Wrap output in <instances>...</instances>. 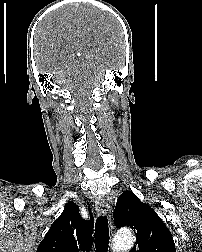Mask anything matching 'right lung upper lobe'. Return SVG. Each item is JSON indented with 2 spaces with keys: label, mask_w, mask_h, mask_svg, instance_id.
<instances>
[{
  "label": "right lung upper lobe",
  "mask_w": 202,
  "mask_h": 252,
  "mask_svg": "<svg viewBox=\"0 0 202 252\" xmlns=\"http://www.w3.org/2000/svg\"><path fill=\"white\" fill-rule=\"evenodd\" d=\"M89 213L90 220L82 219L78 205L68 202L41 241L37 252L88 251L93 242L94 226L91 211Z\"/></svg>",
  "instance_id": "obj_1"
}]
</instances>
